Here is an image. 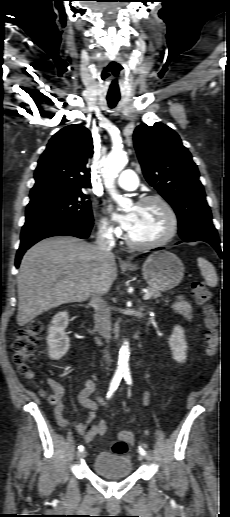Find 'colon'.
Returning a JSON list of instances; mask_svg holds the SVG:
<instances>
[{
    "label": "colon",
    "instance_id": "obj_1",
    "mask_svg": "<svg viewBox=\"0 0 230 517\" xmlns=\"http://www.w3.org/2000/svg\"><path fill=\"white\" fill-rule=\"evenodd\" d=\"M192 294L196 302L202 306L203 321L205 326V337L207 342L206 354L214 357L217 354L219 343V316L215 306L211 302V294L206 285L200 280H194L191 285ZM43 324L39 320L31 322L27 327L17 330L15 340L13 342V362L18 371L28 379L34 376L32 361L35 348L41 339ZM51 393L48 400L56 403L60 396V390L56 382L49 383ZM134 435L127 433L113 444L114 453L122 455L128 450V444L132 443Z\"/></svg>",
    "mask_w": 230,
    "mask_h": 517
}]
</instances>
